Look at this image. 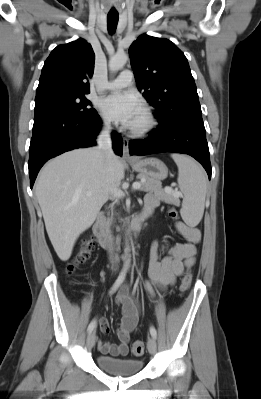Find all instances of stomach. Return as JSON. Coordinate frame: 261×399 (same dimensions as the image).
Returning a JSON list of instances; mask_svg holds the SVG:
<instances>
[{"label": "stomach", "mask_w": 261, "mask_h": 399, "mask_svg": "<svg viewBox=\"0 0 261 399\" xmlns=\"http://www.w3.org/2000/svg\"><path fill=\"white\" fill-rule=\"evenodd\" d=\"M132 168L141 175L155 180H163L168 175V168L157 158L136 159L130 162Z\"/></svg>", "instance_id": "stomach-1"}]
</instances>
